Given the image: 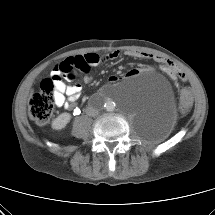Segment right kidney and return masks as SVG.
Here are the masks:
<instances>
[{"instance_id":"1","label":"right kidney","mask_w":215,"mask_h":215,"mask_svg":"<svg viewBox=\"0 0 215 215\" xmlns=\"http://www.w3.org/2000/svg\"><path fill=\"white\" fill-rule=\"evenodd\" d=\"M71 115L69 113H62L52 121V128L55 130H61L66 127L70 122Z\"/></svg>"}]
</instances>
